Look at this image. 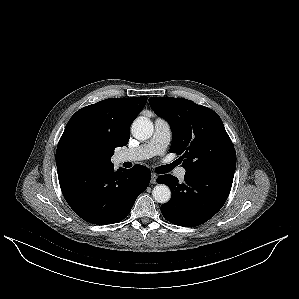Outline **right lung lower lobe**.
Wrapping results in <instances>:
<instances>
[{
  "mask_svg": "<svg viewBox=\"0 0 299 299\" xmlns=\"http://www.w3.org/2000/svg\"><path fill=\"white\" fill-rule=\"evenodd\" d=\"M59 184L69 206L82 219L97 225L124 219L136 198L149 185L151 173L142 165L132 169L64 166L57 168Z\"/></svg>",
  "mask_w": 299,
  "mask_h": 299,
  "instance_id": "obj_1",
  "label": "right lung lower lobe"
}]
</instances>
